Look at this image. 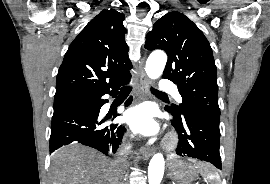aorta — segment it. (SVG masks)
Instances as JSON below:
<instances>
[{
    "label": "aorta",
    "mask_w": 270,
    "mask_h": 184,
    "mask_svg": "<svg viewBox=\"0 0 270 184\" xmlns=\"http://www.w3.org/2000/svg\"><path fill=\"white\" fill-rule=\"evenodd\" d=\"M167 56L162 51H154L146 61L145 71L150 79L159 78L165 68ZM165 168L164 157L161 153L155 154L148 166V183L160 184Z\"/></svg>",
    "instance_id": "obj_1"
}]
</instances>
